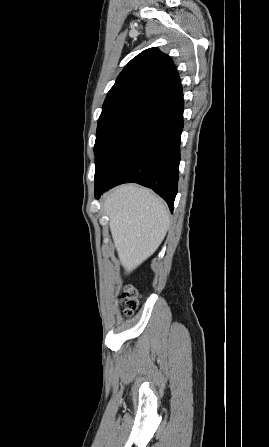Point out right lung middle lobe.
I'll list each match as a JSON object with an SVG mask.
<instances>
[{"label":"right lung middle lobe","instance_id":"1","mask_svg":"<svg viewBox=\"0 0 269 447\" xmlns=\"http://www.w3.org/2000/svg\"><path fill=\"white\" fill-rule=\"evenodd\" d=\"M136 110L137 109L134 108H123L100 116L94 146V154L96 157L101 153L106 141L113 134L118 125L127 115Z\"/></svg>","mask_w":269,"mask_h":447}]
</instances>
